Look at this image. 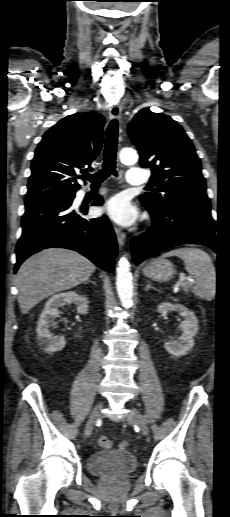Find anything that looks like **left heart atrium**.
<instances>
[{
    "mask_svg": "<svg viewBox=\"0 0 230 517\" xmlns=\"http://www.w3.org/2000/svg\"><path fill=\"white\" fill-rule=\"evenodd\" d=\"M104 212L122 225L132 223L137 215L131 202L123 195L112 197L104 207Z\"/></svg>",
    "mask_w": 230,
    "mask_h": 517,
    "instance_id": "1",
    "label": "left heart atrium"
}]
</instances>
